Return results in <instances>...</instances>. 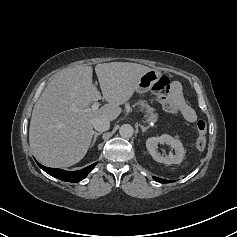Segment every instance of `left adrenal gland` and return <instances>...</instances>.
Returning a JSON list of instances; mask_svg holds the SVG:
<instances>
[{
  "mask_svg": "<svg viewBox=\"0 0 237 237\" xmlns=\"http://www.w3.org/2000/svg\"><path fill=\"white\" fill-rule=\"evenodd\" d=\"M140 128L142 129V132L144 133V132L147 131V129L150 128V126L145 127V126H143V125H140Z\"/></svg>",
  "mask_w": 237,
  "mask_h": 237,
  "instance_id": "obj_1",
  "label": "left adrenal gland"
}]
</instances>
